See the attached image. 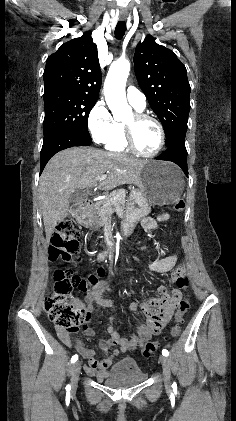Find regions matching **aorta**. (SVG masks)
I'll list each match as a JSON object with an SVG mask.
<instances>
[{"mask_svg":"<svg viewBox=\"0 0 236 421\" xmlns=\"http://www.w3.org/2000/svg\"><path fill=\"white\" fill-rule=\"evenodd\" d=\"M129 70V60H117V62H112L108 70L104 82V94L106 102L112 112H115V106H117V104L126 100L125 86Z\"/></svg>","mask_w":236,"mask_h":421,"instance_id":"762f6f07","label":"aorta"}]
</instances>
